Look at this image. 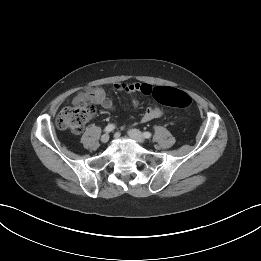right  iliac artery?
<instances>
[{
    "mask_svg": "<svg viewBox=\"0 0 261 261\" xmlns=\"http://www.w3.org/2000/svg\"><path fill=\"white\" fill-rule=\"evenodd\" d=\"M114 129H115V125H114V124H108V125L105 127L104 131L107 132V133H109V132L113 131Z\"/></svg>",
    "mask_w": 261,
    "mask_h": 261,
    "instance_id": "1",
    "label": "right iliac artery"
}]
</instances>
